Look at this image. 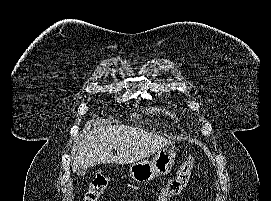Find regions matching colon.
Masks as SVG:
<instances>
[{
	"label": "colon",
	"mask_w": 271,
	"mask_h": 201,
	"mask_svg": "<svg viewBox=\"0 0 271 201\" xmlns=\"http://www.w3.org/2000/svg\"><path fill=\"white\" fill-rule=\"evenodd\" d=\"M194 157L189 155L176 173L159 192L156 201H170L171 198L180 194L190 180L194 168ZM106 178L100 176L94 178L85 192L84 201H98L99 197L107 188Z\"/></svg>",
	"instance_id": "obj_1"
}]
</instances>
